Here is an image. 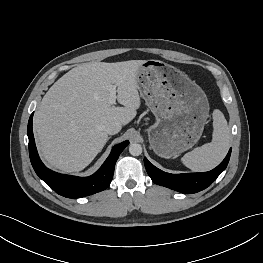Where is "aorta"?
Wrapping results in <instances>:
<instances>
[{"label": "aorta", "mask_w": 263, "mask_h": 263, "mask_svg": "<svg viewBox=\"0 0 263 263\" xmlns=\"http://www.w3.org/2000/svg\"><path fill=\"white\" fill-rule=\"evenodd\" d=\"M129 153L132 156H139L142 153V146L138 143H131L129 145Z\"/></svg>", "instance_id": "aorta-1"}]
</instances>
